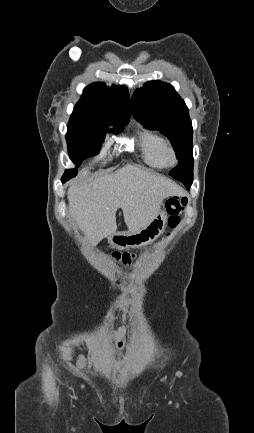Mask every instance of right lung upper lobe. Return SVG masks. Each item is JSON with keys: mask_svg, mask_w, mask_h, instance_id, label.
<instances>
[{"mask_svg": "<svg viewBox=\"0 0 254 433\" xmlns=\"http://www.w3.org/2000/svg\"><path fill=\"white\" fill-rule=\"evenodd\" d=\"M75 109H90L106 113L112 122L129 120L131 104L125 86L108 88L97 82L86 87Z\"/></svg>", "mask_w": 254, "mask_h": 433, "instance_id": "right-lung-upper-lobe-1", "label": "right lung upper lobe"}]
</instances>
